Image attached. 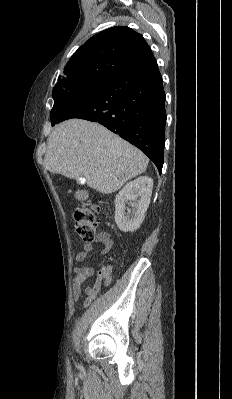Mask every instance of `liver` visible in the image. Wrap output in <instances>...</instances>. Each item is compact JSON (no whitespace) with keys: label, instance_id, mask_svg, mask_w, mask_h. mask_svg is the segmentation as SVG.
<instances>
[{"label":"liver","instance_id":"liver-1","mask_svg":"<svg viewBox=\"0 0 232 399\" xmlns=\"http://www.w3.org/2000/svg\"><path fill=\"white\" fill-rule=\"evenodd\" d=\"M46 170L67 178H86L89 188L112 194L145 172L149 160L104 126L67 120L55 126L44 158Z\"/></svg>","mask_w":232,"mask_h":399}]
</instances>
